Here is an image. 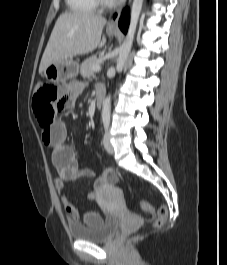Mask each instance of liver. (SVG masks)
I'll return each mask as SVG.
<instances>
[{
  "mask_svg": "<svg viewBox=\"0 0 227 265\" xmlns=\"http://www.w3.org/2000/svg\"><path fill=\"white\" fill-rule=\"evenodd\" d=\"M106 19L93 13H63L57 19L39 66V73L51 64L62 63L74 56L104 46L101 33Z\"/></svg>",
  "mask_w": 227,
  "mask_h": 265,
  "instance_id": "liver-1",
  "label": "liver"
}]
</instances>
